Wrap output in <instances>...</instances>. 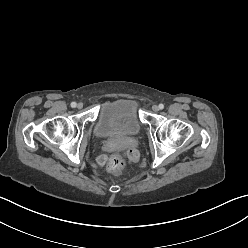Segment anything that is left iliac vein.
Wrapping results in <instances>:
<instances>
[{"instance_id": "4c4485c4", "label": "left iliac vein", "mask_w": 248, "mask_h": 248, "mask_svg": "<svg viewBox=\"0 0 248 248\" xmlns=\"http://www.w3.org/2000/svg\"><path fill=\"white\" fill-rule=\"evenodd\" d=\"M152 110H153L154 112L159 111V106L153 105V106H152Z\"/></svg>"}]
</instances>
